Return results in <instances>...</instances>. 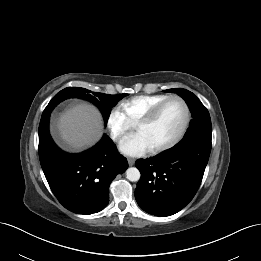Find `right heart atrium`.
<instances>
[{
    "label": "right heart atrium",
    "mask_w": 261,
    "mask_h": 261,
    "mask_svg": "<svg viewBox=\"0 0 261 261\" xmlns=\"http://www.w3.org/2000/svg\"><path fill=\"white\" fill-rule=\"evenodd\" d=\"M106 123L110 135L115 141L120 140L133 129V124L128 120L124 112L118 107L110 110Z\"/></svg>",
    "instance_id": "1"
}]
</instances>
